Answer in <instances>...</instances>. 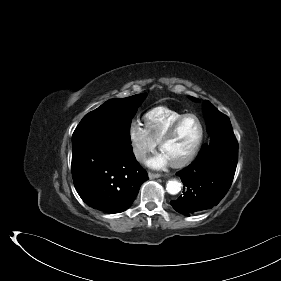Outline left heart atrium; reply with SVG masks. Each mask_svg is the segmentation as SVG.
I'll return each mask as SVG.
<instances>
[{
  "label": "left heart atrium",
  "mask_w": 281,
  "mask_h": 281,
  "mask_svg": "<svg viewBox=\"0 0 281 281\" xmlns=\"http://www.w3.org/2000/svg\"><path fill=\"white\" fill-rule=\"evenodd\" d=\"M169 163V159L163 153H159L147 160V165L155 169L164 168Z\"/></svg>",
  "instance_id": "obj_1"
}]
</instances>
